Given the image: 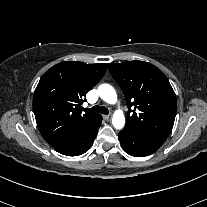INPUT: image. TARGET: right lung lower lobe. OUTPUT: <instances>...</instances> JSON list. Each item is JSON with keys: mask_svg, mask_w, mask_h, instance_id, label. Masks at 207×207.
Here are the masks:
<instances>
[{"mask_svg": "<svg viewBox=\"0 0 207 207\" xmlns=\"http://www.w3.org/2000/svg\"><path fill=\"white\" fill-rule=\"evenodd\" d=\"M101 121L102 116L100 115L91 123L73 129L63 140L52 146L66 156H76L85 153L92 145Z\"/></svg>", "mask_w": 207, "mask_h": 207, "instance_id": "obj_1", "label": "right lung lower lobe"}]
</instances>
